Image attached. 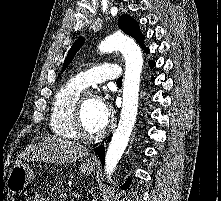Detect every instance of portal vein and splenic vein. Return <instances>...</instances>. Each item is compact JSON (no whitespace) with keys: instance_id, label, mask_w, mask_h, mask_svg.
<instances>
[{"instance_id":"obj_1","label":"portal vein and splenic vein","mask_w":221,"mask_h":201,"mask_svg":"<svg viewBox=\"0 0 221 201\" xmlns=\"http://www.w3.org/2000/svg\"><path fill=\"white\" fill-rule=\"evenodd\" d=\"M72 196H73L74 198H80V195H79L78 193H72Z\"/></svg>"}]
</instances>
